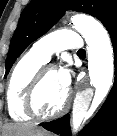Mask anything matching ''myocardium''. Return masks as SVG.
Here are the masks:
<instances>
[{
  "mask_svg": "<svg viewBox=\"0 0 117 136\" xmlns=\"http://www.w3.org/2000/svg\"><path fill=\"white\" fill-rule=\"evenodd\" d=\"M51 70H55V67L52 65L42 66L35 74L25 93L24 109L26 113L30 115V117H33L37 120H50L56 118L64 113L71 103V93L68 91L63 104L58 110L50 114H42L39 112L36 101L37 93L47 73Z\"/></svg>",
  "mask_w": 117,
  "mask_h": 136,
  "instance_id": "myocardium-1",
  "label": "myocardium"
}]
</instances>
